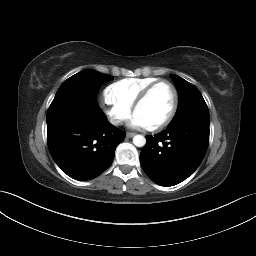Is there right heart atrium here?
<instances>
[{
    "instance_id": "d8ad5b80",
    "label": "right heart atrium",
    "mask_w": 256,
    "mask_h": 256,
    "mask_svg": "<svg viewBox=\"0 0 256 256\" xmlns=\"http://www.w3.org/2000/svg\"><path fill=\"white\" fill-rule=\"evenodd\" d=\"M104 105V113L114 126L122 125L131 115V108L109 100L106 95Z\"/></svg>"
}]
</instances>
